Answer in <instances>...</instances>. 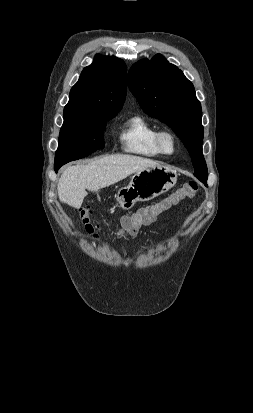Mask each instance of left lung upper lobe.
I'll use <instances>...</instances> for the list:
<instances>
[{
	"mask_svg": "<svg viewBox=\"0 0 253 413\" xmlns=\"http://www.w3.org/2000/svg\"><path fill=\"white\" fill-rule=\"evenodd\" d=\"M128 85L143 111L166 123L181 139L191 156L194 176L207 184L202 109L193 84L177 66L157 54L131 67Z\"/></svg>",
	"mask_w": 253,
	"mask_h": 413,
	"instance_id": "left-lung-upper-lobe-1",
	"label": "left lung upper lobe"
}]
</instances>
